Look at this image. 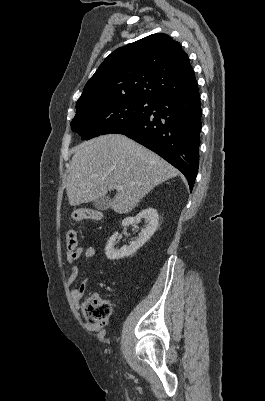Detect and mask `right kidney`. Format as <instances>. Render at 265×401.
<instances>
[{
    "label": "right kidney",
    "mask_w": 265,
    "mask_h": 401,
    "mask_svg": "<svg viewBox=\"0 0 265 401\" xmlns=\"http://www.w3.org/2000/svg\"><path fill=\"white\" fill-rule=\"evenodd\" d=\"M141 219H145L148 225H146L145 229H142L141 233H139L138 239L136 241H130L129 247H121V249H114L115 241L118 237V233H114L112 237H110L106 249L105 255L107 259H123V257H130V255H134L140 247H143L144 243H147L148 239L154 235L155 231L158 229L159 225V215L156 209H143L141 213H138L136 217H127L122 221V227H127V225H136L139 223Z\"/></svg>",
    "instance_id": "right-kidney-1"
}]
</instances>
